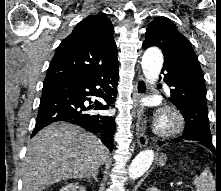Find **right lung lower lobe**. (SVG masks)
I'll list each match as a JSON object with an SVG mask.
<instances>
[{
	"label": "right lung lower lobe",
	"mask_w": 221,
	"mask_h": 191,
	"mask_svg": "<svg viewBox=\"0 0 221 191\" xmlns=\"http://www.w3.org/2000/svg\"><path fill=\"white\" fill-rule=\"evenodd\" d=\"M118 67L95 77L52 82L43 85V93L36 118L33 137L45 126L66 121L79 125L90 132L100 133L102 143L113 149V135L116 129L114 117L95 114V110H107L113 106L117 95ZM91 96L102 97L106 105L92 103Z\"/></svg>",
	"instance_id": "98d812e1"
}]
</instances>
